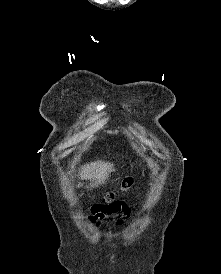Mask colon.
I'll return each mask as SVG.
<instances>
[{"label":"colon","instance_id":"obj_1","mask_svg":"<svg viewBox=\"0 0 221 274\" xmlns=\"http://www.w3.org/2000/svg\"><path fill=\"white\" fill-rule=\"evenodd\" d=\"M133 182H134V180H133V178H132L131 176L126 177V178L123 180V182H122L121 189H122L123 191L129 190V189L132 187ZM113 199H114L113 196H108V197H107V201H108V202L112 201Z\"/></svg>","mask_w":221,"mask_h":274}]
</instances>
